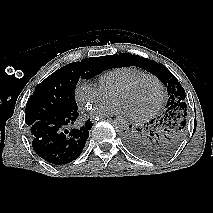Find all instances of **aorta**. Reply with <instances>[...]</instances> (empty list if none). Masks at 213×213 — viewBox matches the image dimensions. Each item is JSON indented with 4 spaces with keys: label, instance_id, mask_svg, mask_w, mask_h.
<instances>
[{
    "label": "aorta",
    "instance_id": "obj_1",
    "mask_svg": "<svg viewBox=\"0 0 213 213\" xmlns=\"http://www.w3.org/2000/svg\"><path fill=\"white\" fill-rule=\"evenodd\" d=\"M112 125H113V128L117 132H123V131L127 130V128H128L127 121L123 117H121V116L116 117L113 120Z\"/></svg>",
    "mask_w": 213,
    "mask_h": 213
}]
</instances>
